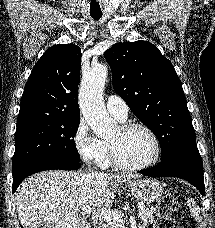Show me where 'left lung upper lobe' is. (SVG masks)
<instances>
[{
	"label": "left lung upper lobe",
	"instance_id": "obj_1",
	"mask_svg": "<svg viewBox=\"0 0 215 228\" xmlns=\"http://www.w3.org/2000/svg\"><path fill=\"white\" fill-rule=\"evenodd\" d=\"M104 56L112 70L114 90L158 138L161 160L196 143L181 81L155 45L119 42Z\"/></svg>",
	"mask_w": 215,
	"mask_h": 228
}]
</instances>
